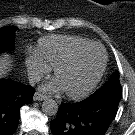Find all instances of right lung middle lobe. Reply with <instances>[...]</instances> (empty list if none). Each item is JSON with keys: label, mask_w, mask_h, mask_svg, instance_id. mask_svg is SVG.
I'll list each match as a JSON object with an SVG mask.
<instances>
[{"label": "right lung middle lobe", "mask_w": 135, "mask_h": 135, "mask_svg": "<svg viewBox=\"0 0 135 135\" xmlns=\"http://www.w3.org/2000/svg\"><path fill=\"white\" fill-rule=\"evenodd\" d=\"M16 30L17 27L14 26H5L0 29V53L13 49Z\"/></svg>", "instance_id": "right-lung-middle-lobe-1"}]
</instances>
